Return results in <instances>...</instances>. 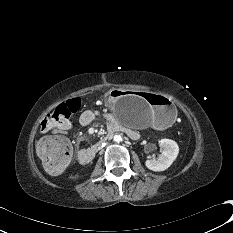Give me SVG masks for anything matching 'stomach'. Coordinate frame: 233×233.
<instances>
[{
  "instance_id": "stomach-1",
  "label": "stomach",
  "mask_w": 233,
  "mask_h": 233,
  "mask_svg": "<svg viewBox=\"0 0 233 233\" xmlns=\"http://www.w3.org/2000/svg\"><path fill=\"white\" fill-rule=\"evenodd\" d=\"M105 103L116 120L136 128L164 127L177 117V109L170 99L152 93L112 89L107 93Z\"/></svg>"
}]
</instances>
